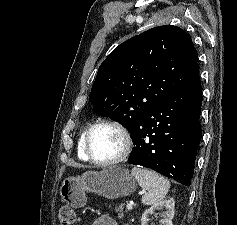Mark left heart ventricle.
Segmentation results:
<instances>
[{"mask_svg": "<svg viewBox=\"0 0 237 225\" xmlns=\"http://www.w3.org/2000/svg\"><path fill=\"white\" fill-rule=\"evenodd\" d=\"M122 145L120 134L110 127L97 128L90 139L91 153L100 160L116 157L121 152Z\"/></svg>", "mask_w": 237, "mask_h": 225, "instance_id": "obj_1", "label": "left heart ventricle"}]
</instances>
